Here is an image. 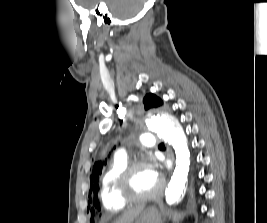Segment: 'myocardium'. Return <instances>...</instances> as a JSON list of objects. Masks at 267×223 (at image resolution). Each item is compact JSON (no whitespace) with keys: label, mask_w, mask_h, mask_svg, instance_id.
I'll list each match as a JSON object with an SVG mask.
<instances>
[{"label":"myocardium","mask_w":267,"mask_h":223,"mask_svg":"<svg viewBox=\"0 0 267 223\" xmlns=\"http://www.w3.org/2000/svg\"><path fill=\"white\" fill-rule=\"evenodd\" d=\"M140 167H147L153 169L150 158L142 157L129 162L124 169L119 173L116 179V192L120 199L126 204L130 203H144L156 199L162 192L163 182L159 181V185L151 193L145 195H135L129 190V182L133 173Z\"/></svg>","instance_id":"myocardium-1"}]
</instances>
